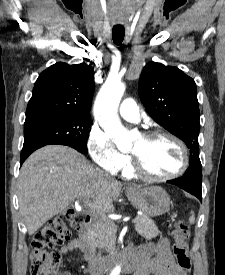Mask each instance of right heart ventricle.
<instances>
[{"label":"right heart ventricle","instance_id":"1","mask_svg":"<svg viewBox=\"0 0 225 275\" xmlns=\"http://www.w3.org/2000/svg\"><path fill=\"white\" fill-rule=\"evenodd\" d=\"M122 174L128 178L134 177V175H135L134 171L132 170V168L130 166H127L126 168L122 169Z\"/></svg>","mask_w":225,"mask_h":275}]
</instances>
